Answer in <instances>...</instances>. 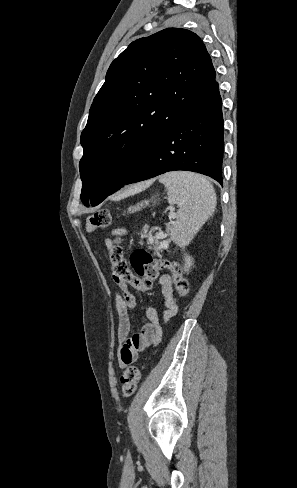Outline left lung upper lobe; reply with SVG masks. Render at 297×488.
Returning a JSON list of instances; mask_svg holds the SVG:
<instances>
[{"label": "left lung upper lobe", "mask_w": 297, "mask_h": 488, "mask_svg": "<svg viewBox=\"0 0 297 488\" xmlns=\"http://www.w3.org/2000/svg\"><path fill=\"white\" fill-rule=\"evenodd\" d=\"M193 32L167 28L132 42L110 65L81 134L84 205L123 187L164 136L218 87Z\"/></svg>", "instance_id": "left-lung-upper-lobe-1"}]
</instances>
